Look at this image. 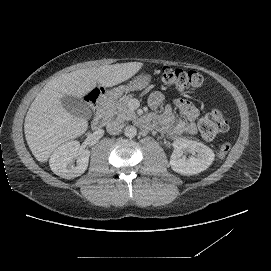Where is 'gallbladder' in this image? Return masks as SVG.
Masks as SVG:
<instances>
[{"label":"gallbladder","mask_w":271,"mask_h":271,"mask_svg":"<svg viewBox=\"0 0 271 271\" xmlns=\"http://www.w3.org/2000/svg\"><path fill=\"white\" fill-rule=\"evenodd\" d=\"M60 102L63 108L73 116L86 117L88 115V107L76 96L64 95Z\"/></svg>","instance_id":"1"}]
</instances>
